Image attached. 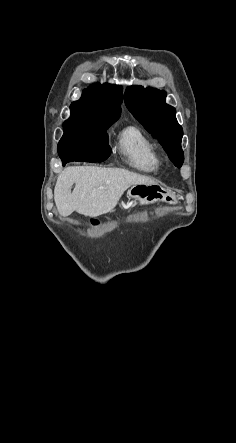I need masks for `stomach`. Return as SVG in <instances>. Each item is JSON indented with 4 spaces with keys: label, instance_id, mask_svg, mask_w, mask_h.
Returning <instances> with one entry per match:
<instances>
[{
    "label": "stomach",
    "instance_id": "0dacf381",
    "mask_svg": "<svg viewBox=\"0 0 236 443\" xmlns=\"http://www.w3.org/2000/svg\"><path fill=\"white\" fill-rule=\"evenodd\" d=\"M128 198L130 203L135 205L153 204L157 201H165L171 204H175V199L172 194L166 191L164 188L155 185H133L128 191Z\"/></svg>",
    "mask_w": 236,
    "mask_h": 443
}]
</instances>
